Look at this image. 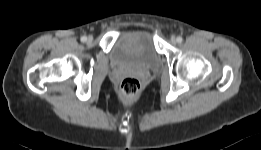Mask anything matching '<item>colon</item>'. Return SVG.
Instances as JSON below:
<instances>
[{
    "mask_svg": "<svg viewBox=\"0 0 261 150\" xmlns=\"http://www.w3.org/2000/svg\"><path fill=\"white\" fill-rule=\"evenodd\" d=\"M120 96L126 103L136 100L141 93V83L133 76L125 77L120 83Z\"/></svg>",
    "mask_w": 261,
    "mask_h": 150,
    "instance_id": "obj_1",
    "label": "colon"
}]
</instances>
